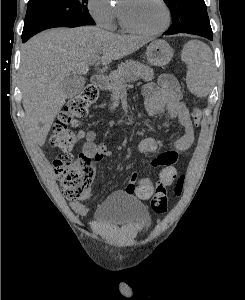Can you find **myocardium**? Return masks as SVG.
<instances>
[{"instance_id": "obj_1", "label": "myocardium", "mask_w": 245, "mask_h": 300, "mask_svg": "<svg viewBox=\"0 0 245 300\" xmlns=\"http://www.w3.org/2000/svg\"><path fill=\"white\" fill-rule=\"evenodd\" d=\"M158 1L163 6V8L165 10V14H166L165 24L161 28L156 29V30H144V29L134 25L133 23H131L128 20L122 6L120 7V10H119V19H120L121 26L129 32L140 34V35H145V36H156V35L163 33L164 31H166L169 28L170 23H171V11L165 0H158Z\"/></svg>"}]
</instances>
